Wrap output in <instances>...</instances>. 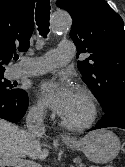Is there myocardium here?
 <instances>
[{
  "label": "myocardium",
  "mask_w": 125,
  "mask_h": 167,
  "mask_svg": "<svg viewBox=\"0 0 125 167\" xmlns=\"http://www.w3.org/2000/svg\"><path fill=\"white\" fill-rule=\"evenodd\" d=\"M77 92L81 94L85 100L87 101L89 107H90V115L88 119L80 124H74L69 121H67L63 116L61 117V124L66 129L72 130V131H83L93 125L97 118L98 114V107L97 102L93 94L85 87H78Z\"/></svg>",
  "instance_id": "1"
}]
</instances>
